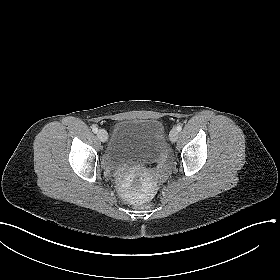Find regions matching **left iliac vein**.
<instances>
[{
    "label": "left iliac vein",
    "instance_id": "1",
    "mask_svg": "<svg viewBox=\"0 0 280 280\" xmlns=\"http://www.w3.org/2000/svg\"><path fill=\"white\" fill-rule=\"evenodd\" d=\"M178 135H179V133H178L177 129H175V128L172 129L169 133L170 141L175 142L178 139Z\"/></svg>",
    "mask_w": 280,
    "mask_h": 280
}]
</instances>
